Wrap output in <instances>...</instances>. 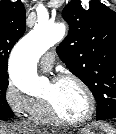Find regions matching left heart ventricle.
I'll use <instances>...</instances> for the list:
<instances>
[{
    "mask_svg": "<svg viewBox=\"0 0 116 134\" xmlns=\"http://www.w3.org/2000/svg\"><path fill=\"white\" fill-rule=\"evenodd\" d=\"M43 96L50 99L58 112L69 119L81 118L88 109L84 91L72 81L51 82Z\"/></svg>",
    "mask_w": 116,
    "mask_h": 134,
    "instance_id": "1",
    "label": "left heart ventricle"
}]
</instances>
